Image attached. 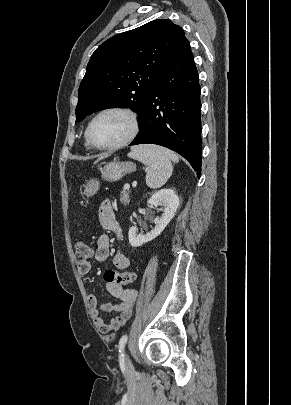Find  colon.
<instances>
[{
	"mask_svg": "<svg viewBox=\"0 0 291 405\" xmlns=\"http://www.w3.org/2000/svg\"><path fill=\"white\" fill-rule=\"evenodd\" d=\"M75 248V257L78 264L87 262L93 255V248L92 246L83 239H79L75 241L74 244ZM135 275L132 272L125 271V272H115V271H107L105 273V280L117 285H127L134 281Z\"/></svg>",
	"mask_w": 291,
	"mask_h": 405,
	"instance_id": "obj_1",
	"label": "colon"
}]
</instances>
